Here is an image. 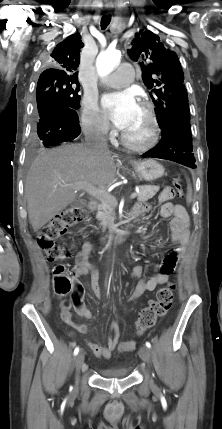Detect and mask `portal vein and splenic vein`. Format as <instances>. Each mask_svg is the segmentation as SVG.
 <instances>
[{"label": "portal vein and splenic vein", "mask_w": 222, "mask_h": 429, "mask_svg": "<svg viewBox=\"0 0 222 429\" xmlns=\"http://www.w3.org/2000/svg\"><path fill=\"white\" fill-rule=\"evenodd\" d=\"M70 186H73L76 190H85L87 191L91 196L97 198V199H109L111 201H116V199L113 196H110L106 193V191L102 188H96L95 186L91 185L88 182L82 181L78 182L76 184H70ZM137 193H132L130 195V199L136 198Z\"/></svg>", "instance_id": "18ae733b"}]
</instances>
